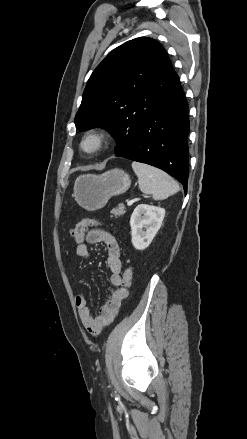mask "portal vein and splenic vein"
Listing matches in <instances>:
<instances>
[{
  "mask_svg": "<svg viewBox=\"0 0 247 439\" xmlns=\"http://www.w3.org/2000/svg\"><path fill=\"white\" fill-rule=\"evenodd\" d=\"M138 200H139L138 198H136V199H132V200H129V201H127V205L130 206V205H132L135 201H138Z\"/></svg>",
  "mask_w": 247,
  "mask_h": 439,
  "instance_id": "obj_1",
  "label": "portal vein and splenic vein"
}]
</instances>
